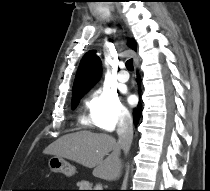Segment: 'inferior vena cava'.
Returning a JSON list of instances; mask_svg holds the SVG:
<instances>
[{
  "label": "inferior vena cava",
  "mask_w": 210,
  "mask_h": 191,
  "mask_svg": "<svg viewBox=\"0 0 210 191\" xmlns=\"http://www.w3.org/2000/svg\"><path fill=\"white\" fill-rule=\"evenodd\" d=\"M117 134L118 146L127 154L133 139V119L129 112H124L120 115Z\"/></svg>",
  "instance_id": "inferior-vena-cava-1"
}]
</instances>
